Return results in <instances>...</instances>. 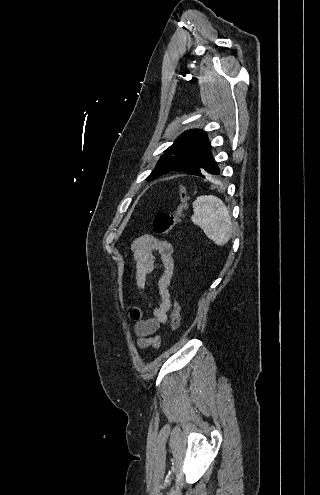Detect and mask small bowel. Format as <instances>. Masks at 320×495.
Listing matches in <instances>:
<instances>
[{
    "instance_id": "1",
    "label": "small bowel",
    "mask_w": 320,
    "mask_h": 495,
    "mask_svg": "<svg viewBox=\"0 0 320 495\" xmlns=\"http://www.w3.org/2000/svg\"><path fill=\"white\" fill-rule=\"evenodd\" d=\"M132 255L136 268V284L141 291H145L149 277L156 269L155 253L160 255L162 272L157 286L160 303L153 307V317L146 318L138 307L129 310L130 318L134 321V333L141 348L160 345L161 338L155 335L161 325L168 322V312L171 309V295L169 286L174 275V249L171 243L153 233L146 232L136 238L132 245Z\"/></svg>"
}]
</instances>
